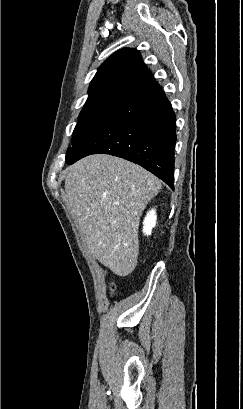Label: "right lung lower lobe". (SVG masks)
<instances>
[{"mask_svg":"<svg viewBox=\"0 0 243 409\" xmlns=\"http://www.w3.org/2000/svg\"><path fill=\"white\" fill-rule=\"evenodd\" d=\"M176 118L160 86L153 82L125 99L111 117L79 144L67 164L91 154L132 161L174 190Z\"/></svg>","mask_w":243,"mask_h":409,"instance_id":"1","label":"right lung lower lobe"}]
</instances>
